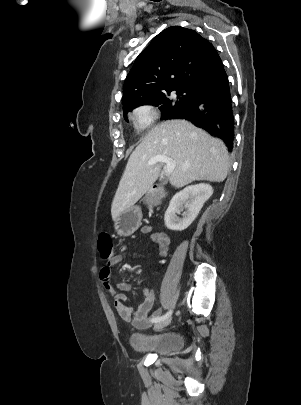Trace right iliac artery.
<instances>
[{
    "label": "right iliac artery",
    "mask_w": 301,
    "mask_h": 405,
    "mask_svg": "<svg viewBox=\"0 0 301 405\" xmlns=\"http://www.w3.org/2000/svg\"><path fill=\"white\" fill-rule=\"evenodd\" d=\"M171 314H172V310H169L166 314H164L162 316L152 318L151 322L152 323H154V322L157 323L159 321H163V320L169 318L171 316Z\"/></svg>",
    "instance_id": "1"
}]
</instances>
